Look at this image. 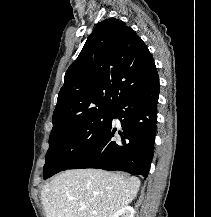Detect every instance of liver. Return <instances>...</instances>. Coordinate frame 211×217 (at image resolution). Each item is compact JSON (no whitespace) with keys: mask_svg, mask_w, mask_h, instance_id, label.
I'll list each match as a JSON object with an SVG mask.
<instances>
[{"mask_svg":"<svg viewBox=\"0 0 211 217\" xmlns=\"http://www.w3.org/2000/svg\"><path fill=\"white\" fill-rule=\"evenodd\" d=\"M139 187L138 178L120 173L66 170L43 186L41 200L46 217H112L133 201Z\"/></svg>","mask_w":211,"mask_h":217,"instance_id":"liver-1","label":"liver"}]
</instances>
